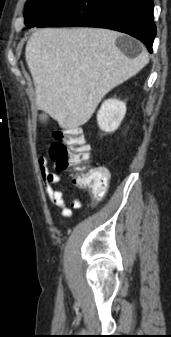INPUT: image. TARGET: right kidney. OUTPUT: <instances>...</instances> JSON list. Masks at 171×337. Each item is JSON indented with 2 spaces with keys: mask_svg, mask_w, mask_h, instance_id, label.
<instances>
[{
  "mask_svg": "<svg viewBox=\"0 0 171 337\" xmlns=\"http://www.w3.org/2000/svg\"><path fill=\"white\" fill-rule=\"evenodd\" d=\"M125 114V102L117 99H108L103 102L98 111V125L105 132H113L120 126Z\"/></svg>",
  "mask_w": 171,
  "mask_h": 337,
  "instance_id": "right-kidney-1",
  "label": "right kidney"
}]
</instances>
